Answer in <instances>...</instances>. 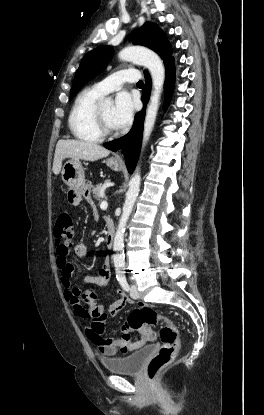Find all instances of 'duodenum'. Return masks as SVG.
<instances>
[{"instance_id": "obj_1", "label": "duodenum", "mask_w": 264, "mask_h": 415, "mask_svg": "<svg viewBox=\"0 0 264 415\" xmlns=\"http://www.w3.org/2000/svg\"><path fill=\"white\" fill-rule=\"evenodd\" d=\"M115 241V228L110 218L106 219V235L105 243L109 248L114 246Z\"/></svg>"}]
</instances>
